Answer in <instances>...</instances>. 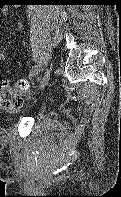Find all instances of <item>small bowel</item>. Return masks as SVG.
Returning a JSON list of instances; mask_svg holds the SVG:
<instances>
[{
    "instance_id": "obj_1",
    "label": "small bowel",
    "mask_w": 121,
    "mask_h": 197,
    "mask_svg": "<svg viewBox=\"0 0 121 197\" xmlns=\"http://www.w3.org/2000/svg\"><path fill=\"white\" fill-rule=\"evenodd\" d=\"M0 11L3 13V14H6L7 13V8L5 7H1ZM5 59V54L4 53H0V61L4 60Z\"/></svg>"
}]
</instances>
